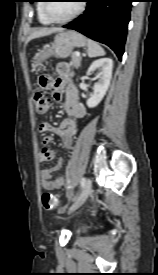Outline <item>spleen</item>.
Listing matches in <instances>:
<instances>
[{
    "label": "spleen",
    "instance_id": "obj_1",
    "mask_svg": "<svg viewBox=\"0 0 158 275\" xmlns=\"http://www.w3.org/2000/svg\"><path fill=\"white\" fill-rule=\"evenodd\" d=\"M86 45H87V53L90 58L105 55L104 49L97 42L91 39H87Z\"/></svg>",
    "mask_w": 158,
    "mask_h": 275
}]
</instances>
